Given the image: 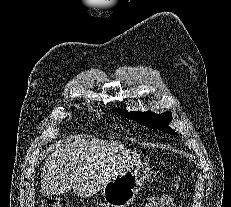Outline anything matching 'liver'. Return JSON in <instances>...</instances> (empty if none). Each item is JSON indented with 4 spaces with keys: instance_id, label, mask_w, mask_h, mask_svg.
Segmentation results:
<instances>
[{
    "instance_id": "6515ba94",
    "label": "liver",
    "mask_w": 231,
    "mask_h": 207,
    "mask_svg": "<svg viewBox=\"0 0 231 207\" xmlns=\"http://www.w3.org/2000/svg\"><path fill=\"white\" fill-rule=\"evenodd\" d=\"M140 156L123 145L81 136L59 141L41 174L43 196L73 191L90 197L119 172L140 164Z\"/></svg>"
}]
</instances>
